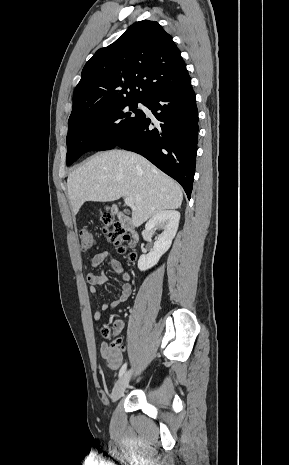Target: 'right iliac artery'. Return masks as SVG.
<instances>
[{"mask_svg": "<svg viewBox=\"0 0 289 465\" xmlns=\"http://www.w3.org/2000/svg\"><path fill=\"white\" fill-rule=\"evenodd\" d=\"M126 368H127V363H124L119 371V377H121L125 373Z\"/></svg>", "mask_w": 289, "mask_h": 465, "instance_id": "82829eb1", "label": "right iliac artery"}]
</instances>
